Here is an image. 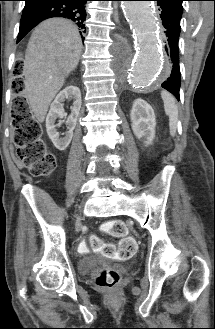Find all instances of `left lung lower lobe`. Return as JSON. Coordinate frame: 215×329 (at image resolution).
Wrapping results in <instances>:
<instances>
[{
	"label": "left lung lower lobe",
	"mask_w": 215,
	"mask_h": 329,
	"mask_svg": "<svg viewBox=\"0 0 215 329\" xmlns=\"http://www.w3.org/2000/svg\"><path fill=\"white\" fill-rule=\"evenodd\" d=\"M161 12L162 25L166 29L165 51L167 53V78L161 86L171 92L179 101L180 68H179V37L182 12L165 0H155Z\"/></svg>",
	"instance_id": "left-lung-lower-lobe-1"
}]
</instances>
